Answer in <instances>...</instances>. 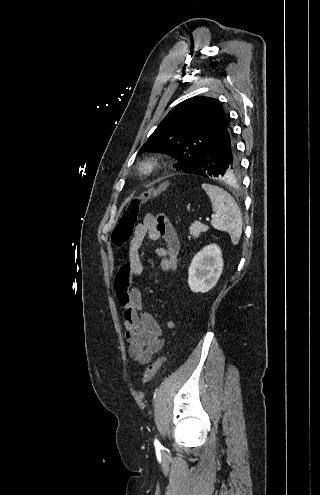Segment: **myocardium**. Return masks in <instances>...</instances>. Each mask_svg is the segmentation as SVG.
I'll list each match as a JSON object with an SVG mask.
<instances>
[{"instance_id": "obj_1", "label": "myocardium", "mask_w": 320, "mask_h": 495, "mask_svg": "<svg viewBox=\"0 0 320 495\" xmlns=\"http://www.w3.org/2000/svg\"><path fill=\"white\" fill-rule=\"evenodd\" d=\"M161 165V161L157 157H148L138 164L139 172L144 176L152 175Z\"/></svg>"}]
</instances>
